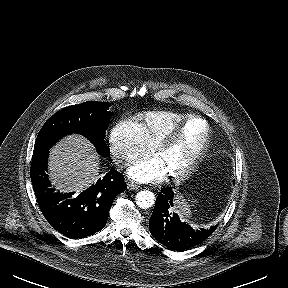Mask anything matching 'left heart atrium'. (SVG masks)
Instances as JSON below:
<instances>
[{"label":"left heart atrium","mask_w":288,"mask_h":288,"mask_svg":"<svg viewBox=\"0 0 288 288\" xmlns=\"http://www.w3.org/2000/svg\"><path fill=\"white\" fill-rule=\"evenodd\" d=\"M168 171L159 156L139 162L132 166L128 174L138 182L158 181L167 175Z\"/></svg>","instance_id":"39dd6f15"}]
</instances>
